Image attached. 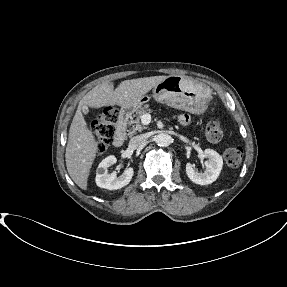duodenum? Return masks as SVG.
I'll use <instances>...</instances> for the list:
<instances>
[{
    "label": "duodenum",
    "mask_w": 287,
    "mask_h": 287,
    "mask_svg": "<svg viewBox=\"0 0 287 287\" xmlns=\"http://www.w3.org/2000/svg\"><path fill=\"white\" fill-rule=\"evenodd\" d=\"M128 113L127 111L123 112L120 115L117 127H116V131H115V135H114V145L116 147H120L122 146V144L124 143L125 139H126V134H127V125H128Z\"/></svg>",
    "instance_id": "410a0bca"
}]
</instances>
